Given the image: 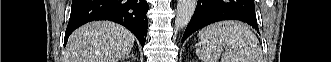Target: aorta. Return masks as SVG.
Returning <instances> with one entry per match:
<instances>
[{"label":"aorta","mask_w":331,"mask_h":62,"mask_svg":"<svg viewBox=\"0 0 331 62\" xmlns=\"http://www.w3.org/2000/svg\"><path fill=\"white\" fill-rule=\"evenodd\" d=\"M196 3V0H178L175 18V26L177 28L182 29L188 25L194 14Z\"/></svg>","instance_id":"obj_1"}]
</instances>
